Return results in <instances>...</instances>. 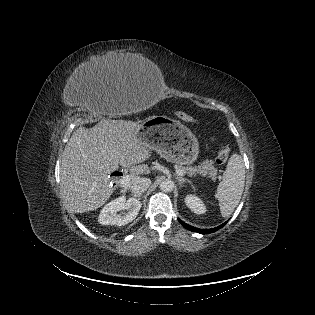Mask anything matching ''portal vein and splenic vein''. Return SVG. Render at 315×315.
Listing matches in <instances>:
<instances>
[{"mask_svg":"<svg viewBox=\"0 0 315 315\" xmlns=\"http://www.w3.org/2000/svg\"><path fill=\"white\" fill-rule=\"evenodd\" d=\"M176 173H177V175H179V176H184V172H183L182 170H180V169H176ZM130 180H131V176H130V175H124V176L120 179V184H121L122 186H126V185L129 184Z\"/></svg>","mask_w":315,"mask_h":315,"instance_id":"portal-vein-and-splenic-vein-1","label":"portal vein and splenic vein"}]
</instances>
